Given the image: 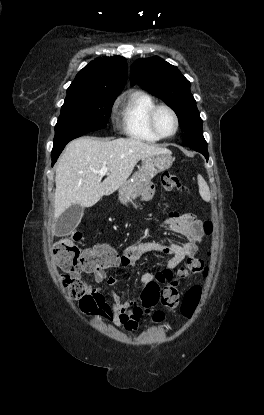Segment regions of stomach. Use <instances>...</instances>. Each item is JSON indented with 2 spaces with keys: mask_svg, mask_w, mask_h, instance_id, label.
Wrapping results in <instances>:
<instances>
[{
  "mask_svg": "<svg viewBox=\"0 0 264 415\" xmlns=\"http://www.w3.org/2000/svg\"><path fill=\"white\" fill-rule=\"evenodd\" d=\"M173 161L170 153L144 157L140 169L119 188L120 202L124 205L132 203L142 193L145 185L156 174L169 169Z\"/></svg>",
  "mask_w": 264,
  "mask_h": 415,
  "instance_id": "obj_1",
  "label": "stomach"
}]
</instances>
